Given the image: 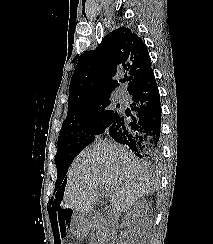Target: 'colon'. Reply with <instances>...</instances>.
<instances>
[{
    "label": "colon",
    "mask_w": 213,
    "mask_h": 244,
    "mask_svg": "<svg viewBox=\"0 0 213 244\" xmlns=\"http://www.w3.org/2000/svg\"><path fill=\"white\" fill-rule=\"evenodd\" d=\"M65 244H74L73 242H71V241H68V242H66Z\"/></svg>",
    "instance_id": "colon-1"
}]
</instances>
